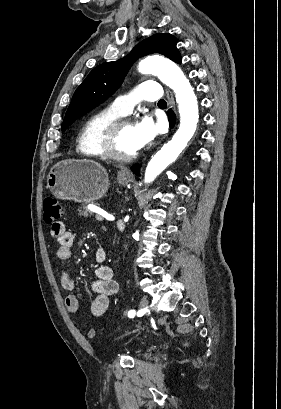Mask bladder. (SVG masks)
I'll return each instance as SVG.
<instances>
[{
    "label": "bladder",
    "instance_id": "bladder-1",
    "mask_svg": "<svg viewBox=\"0 0 281 409\" xmlns=\"http://www.w3.org/2000/svg\"><path fill=\"white\" fill-rule=\"evenodd\" d=\"M135 352H140V349H135Z\"/></svg>",
    "mask_w": 281,
    "mask_h": 409
}]
</instances>
